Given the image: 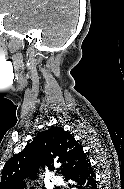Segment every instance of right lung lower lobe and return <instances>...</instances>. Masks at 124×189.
I'll use <instances>...</instances> for the list:
<instances>
[{"instance_id": "1", "label": "right lung lower lobe", "mask_w": 124, "mask_h": 189, "mask_svg": "<svg viewBox=\"0 0 124 189\" xmlns=\"http://www.w3.org/2000/svg\"><path fill=\"white\" fill-rule=\"evenodd\" d=\"M65 180H71L72 183L69 184V187L73 189H98L95 174L89 161L77 171L66 176Z\"/></svg>"}]
</instances>
